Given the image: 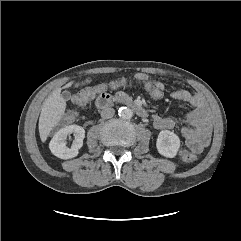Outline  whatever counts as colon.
Returning <instances> with one entry per match:
<instances>
[{
	"instance_id": "5ec220e1",
	"label": "colon",
	"mask_w": 241,
	"mask_h": 241,
	"mask_svg": "<svg viewBox=\"0 0 241 241\" xmlns=\"http://www.w3.org/2000/svg\"><path fill=\"white\" fill-rule=\"evenodd\" d=\"M87 83L88 82L78 84V87H82ZM132 86L143 88L147 92V94L153 100H156V101L162 100L165 96L164 88L158 85L142 82L136 77L133 79L123 77V78L112 80L108 84H101L97 87H86L84 89H81L73 96L72 101L76 106L82 107L88 102L89 99H91L94 96L96 92H103L107 89H118L123 87H132ZM77 115L78 113L76 111L67 112L63 118L64 124H70L74 122L75 119L77 118ZM179 155H180V158L187 163H191L196 160V155L186 149H182Z\"/></svg>"
}]
</instances>
